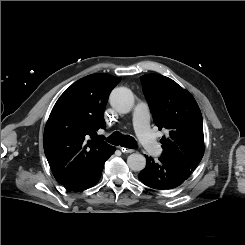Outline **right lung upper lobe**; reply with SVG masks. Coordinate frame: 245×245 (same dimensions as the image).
<instances>
[{
	"mask_svg": "<svg viewBox=\"0 0 245 245\" xmlns=\"http://www.w3.org/2000/svg\"><path fill=\"white\" fill-rule=\"evenodd\" d=\"M120 79L93 74L72 84L54 105L44 130V152L55 179L64 183L114 147L97 136L104 109Z\"/></svg>",
	"mask_w": 245,
	"mask_h": 245,
	"instance_id": "cb5924a9",
	"label": "right lung upper lobe"
}]
</instances>
